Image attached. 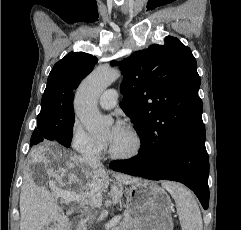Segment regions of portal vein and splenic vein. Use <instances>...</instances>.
I'll return each mask as SVG.
<instances>
[{
    "label": "portal vein and splenic vein",
    "instance_id": "portal-vein-and-splenic-vein-1",
    "mask_svg": "<svg viewBox=\"0 0 241 230\" xmlns=\"http://www.w3.org/2000/svg\"><path fill=\"white\" fill-rule=\"evenodd\" d=\"M57 196L62 197L63 199L67 200V201H85V197H82L79 194H70V195H66V193H64L63 191L59 194L57 193ZM101 201H96L94 204H100ZM121 220V216L115 217L113 218L111 221H109V223H107V227H112L117 225Z\"/></svg>",
    "mask_w": 241,
    "mask_h": 230
}]
</instances>
